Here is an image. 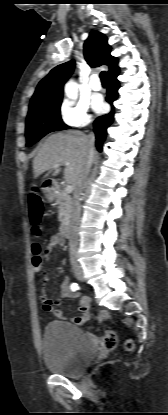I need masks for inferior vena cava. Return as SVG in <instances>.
I'll list each match as a JSON object with an SVG mask.
<instances>
[{
  "label": "inferior vena cava",
  "mask_w": 168,
  "mask_h": 415,
  "mask_svg": "<svg viewBox=\"0 0 168 415\" xmlns=\"http://www.w3.org/2000/svg\"><path fill=\"white\" fill-rule=\"evenodd\" d=\"M94 143H95V136L93 133L88 135V158L86 160L84 169L77 181V184L74 188L73 192V199L71 205V214H70V225H69V252H70V262L72 268H79L78 259V230H79V222L81 216V205H80V198L82 195V191L84 188V184L86 178L88 176L91 163H92V156L94 153Z\"/></svg>",
  "instance_id": "obj_1"
}]
</instances>
